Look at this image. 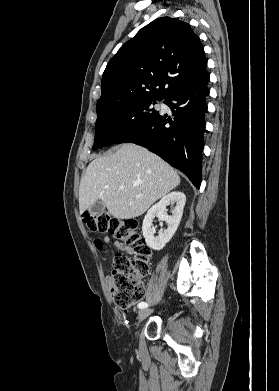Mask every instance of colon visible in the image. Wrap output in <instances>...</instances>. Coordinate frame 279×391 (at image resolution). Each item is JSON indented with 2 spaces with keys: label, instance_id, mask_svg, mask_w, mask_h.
<instances>
[{
  "label": "colon",
  "instance_id": "colon-1",
  "mask_svg": "<svg viewBox=\"0 0 279 391\" xmlns=\"http://www.w3.org/2000/svg\"><path fill=\"white\" fill-rule=\"evenodd\" d=\"M83 222L91 232L109 233L120 243L133 247L135 256L130 258L118 253L113 260L109 276V290L113 302L122 309H129L144 296L141 278L148 272L150 248L146 245L139 222L133 218L119 219L108 213L85 214ZM102 249L103 242L95 241Z\"/></svg>",
  "mask_w": 279,
  "mask_h": 391
}]
</instances>
